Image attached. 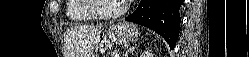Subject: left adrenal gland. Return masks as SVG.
<instances>
[{"instance_id": "a2214340", "label": "left adrenal gland", "mask_w": 249, "mask_h": 57, "mask_svg": "<svg viewBox=\"0 0 249 57\" xmlns=\"http://www.w3.org/2000/svg\"><path fill=\"white\" fill-rule=\"evenodd\" d=\"M136 47H131L128 49V51L125 53L124 57H127L129 53H133Z\"/></svg>"}]
</instances>
